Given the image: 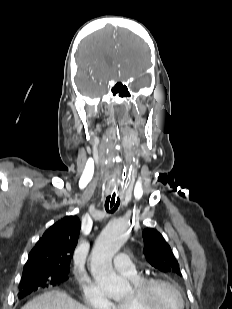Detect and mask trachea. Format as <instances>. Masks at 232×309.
Here are the masks:
<instances>
[{
	"label": "trachea",
	"instance_id": "obj_1",
	"mask_svg": "<svg viewBox=\"0 0 232 309\" xmlns=\"http://www.w3.org/2000/svg\"><path fill=\"white\" fill-rule=\"evenodd\" d=\"M120 205L119 184L116 181L111 189L110 194L105 201V209L108 213H114Z\"/></svg>",
	"mask_w": 232,
	"mask_h": 309
}]
</instances>
